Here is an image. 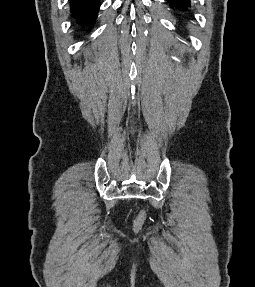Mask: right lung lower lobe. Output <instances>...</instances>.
I'll list each match as a JSON object with an SVG mask.
<instances>
[{
	"instance_id": "obj_1",
	"label": "right lung lower lobe",
	"mask_w": 255,
	"mask_h": 287,
	"mask_svg": "<svg viewBox=\"0 0 255 287\" xmlns=\"http://www.w3.org/2000/svg\"><path fill=\"white\" fill-rule=\"evenodd\" d=\"M100 0H71L70 12L76 23L89 26L95 21Z\"/></svg>"
}]
</instances>
